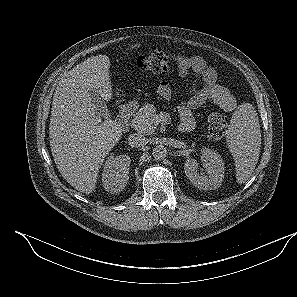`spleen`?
I'll return each instance as SVG.
<instances>
[{
	"label": "spleen",
	"instance_id": "3e777b00",
	"mask_svg": "<svg viewBox=\"0 0 297 297\" xmlns=\"http://www.w3.org/2000/svg\"><path fill=\"white\" fill-rule=\"evenodd\" d=\"M226 141L235 160L237 182L245 183L256 167L261 146L259 119L251 104L243 103L235 110Z\"/></svg>",
	"mask_w": 297,
	"mask_h": 297
}]
</instances>
